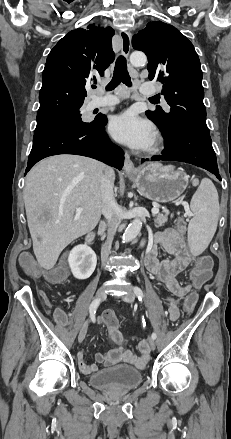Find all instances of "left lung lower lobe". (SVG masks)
Returning <instances> with one entry per match:
<instances>
[{
  "instance_id": "1",
  "label": "left lung lower lobe",
  "mask_w": 231,
  "mask_h": 439,
  "mask_svg": "<svg viewBox=\"0 0 231 439\" xmlns=\"http://www.w3.org/2000/svg\"><path fill=\"white\" fill-rule=\"evenodd\" d=\"M165 149L152 161H181L204 168L221 180L210 134L195 129L179 127L163 135ZM148 158L141 159L144 163Z\"/></svg>"
}]
</instances>
